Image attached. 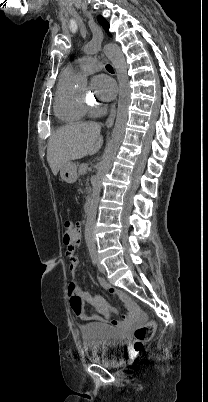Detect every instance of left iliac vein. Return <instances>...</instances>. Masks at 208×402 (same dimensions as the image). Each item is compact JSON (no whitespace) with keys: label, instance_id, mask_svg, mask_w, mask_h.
Listing matches in <instances>:
<instances>
[{"label":"left iliac vein","instance_id":"4c4485c4","mask_svg":"<svg viewBox=\"0 0 208 402\" xmlns=\"http://www.w3.org/2000/svg\"><path fill=\"white\" fill-rule=\"evenodd\" d=\"M97 266H98V270L101 272V273H104L105 272V268H104V266L100 263V260L97 258Z\"/></svg>","mask_w":208,"mask_h":402}]
</instances>
